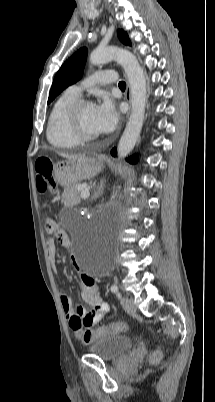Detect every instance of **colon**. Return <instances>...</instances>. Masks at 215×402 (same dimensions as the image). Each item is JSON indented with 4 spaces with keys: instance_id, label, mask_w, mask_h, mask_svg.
Listing matches in <instances>:
<instances>
[{
    "instance_id": "colon-1",
    "label": "colon",
    "mask_w": 215,
    "mask_h": 402,
    "mask_svg": "<svg viewBox=\"0 0 215 402\" xmlns=\"http://www.w3.org/2000/svg\"><path fill=\"white\" fill-rule=\"evenodd\" d=\"M53 156H40L35 162V172H36V186L40 193L45 194L53 191L56 188V181L53 174ZM54 220L52 218L44 219L45 229L52 228ZM127 326L123 322H113L106 326H101L96 329H86L80 331L78 336L80 340L89 344L94 340L112 334H119L125 332ZM161 359V352L156 350L150 356V361L155 363Z\"/></svg>"
}]
</instances>
